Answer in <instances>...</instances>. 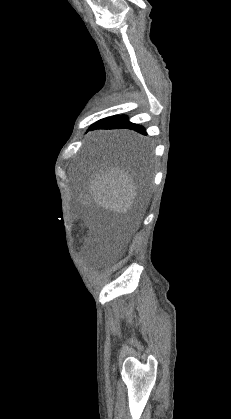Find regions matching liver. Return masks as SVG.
Returning <instances> with one entry per match:
<instances>
[{
  "instance_id": "6515ba94",
  "label": "liver",
  "mask_w": 231,
  "mask_h": 419,
  "mask_svg": "<svg viewBox=\"0 0 231 419\" xmlns=\"http://www.w3.org/2000/svg\"><path fill=\"white\" fill-rule=\"evenodd\" d=\"M113 136L128 139L133 147L141 145V140L129 131L114 132ZM89 193L101 207L126 213L131 210L137 196V186L133 177L124 168L112 166L97 172L89 185Z\"/></svg>"
}]
</instances>
